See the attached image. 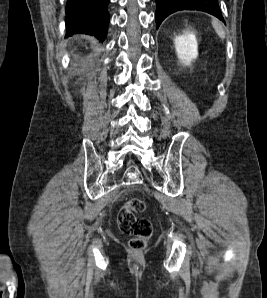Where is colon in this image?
Masks as SVG:
<instances>
[{
    "label": "colon",
    "instance_id": "obj_1",
    "mask_svg": "<svg viewBox=\"0 0 267 298\" xmlns=\"http://www.w3.org/2000/svg\"><path fill=\"white\" fill-rule=\"evenodd\" d=\"M144 210L145 203L133 197L124 203L117 215V225L122 233L131 237L129 247L134 251L143 250L152 234L150 220L140 216Z\"/></svg>",
    "mask_w": 267,
    "mask_h": 298
}]
</instances>
